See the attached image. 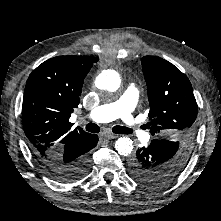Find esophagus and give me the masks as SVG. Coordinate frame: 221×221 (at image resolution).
Here are the masks:
<instances>
[{
  "instance_id": "1",
  "label": "esophagus",
  "mask_w": 221,
  "mask_h": 221,
  "mask_svg": "<svg viewBox=\"0 0 221 221\" xmlns=\"http://www.w3.org/2000/svg\"><path fill=\"white\" fill-rule=\"evenodd\" d=\"M117 137H118V135L112 134V133H107V134L104 135V138L109 139V140L115 139Z\"/></svg>"
}]
</instances>
